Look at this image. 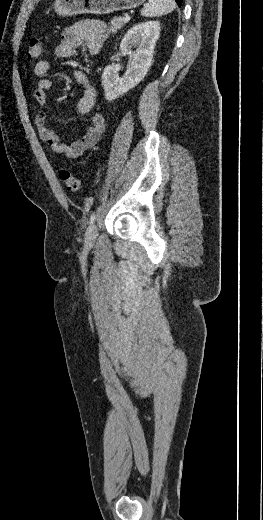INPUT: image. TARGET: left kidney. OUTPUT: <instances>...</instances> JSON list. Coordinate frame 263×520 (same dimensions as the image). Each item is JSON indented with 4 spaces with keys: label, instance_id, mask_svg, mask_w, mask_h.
I'll list each match as a JSON object with an SVG mask.
<instances>
[{
    "label": "left kidney",
    "instance_id": "1",
    "mask_svg": "<svg viewBox=\"0 0 263 520\" xmlns=\"http://www.w3.org/2000/svg\"><path fill=\"white\" fill-rule=\"evenodd\" d=\"M160 35L157 21L140 23L131 28L120 43L123 54H129L130 66L121 78L118 68L107 66L102 74L105 99L112 101L139 84L147 74L153 59L154 48ZM136 47L132 53L131 48Z\"/></svg>",
    "mask_w": 263,
    "mask_h": 520
}]
</instances>
